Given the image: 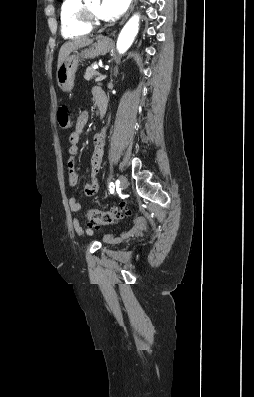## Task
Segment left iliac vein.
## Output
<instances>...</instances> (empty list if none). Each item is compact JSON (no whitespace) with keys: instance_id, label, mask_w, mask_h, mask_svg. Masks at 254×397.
I'll return each mask as SVG.
<instances>
[{"instance_id":"left-iliac-vein-1","label":"left iliac vein","mask_w":254,"mask_h":397,"mask_svg":"<svg viewBox=\"0 0 254 397\" xmlns=\"http://www.w3.org/2000/svg\"><path fill=\"white\" fill-rule=\"evenodd\" d=\"M119 180H120V187L121 189H126L128 187V180L124 175H120L119 176Z\"/></svg>"}]
</instances>
